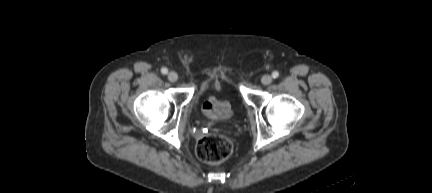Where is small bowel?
Masks as SVG:
<instances>
[{"label": "small bowel", "mask_w": 432, "mask_h": 193, "mask_svg": "<svg viewBox=\"0 0 432 193\" xmlns=\"http://www.w3.org/2000/svg\"><path fill=\"white\" fill-rule=\"evenodd\" d=\"M202 109L203 113L211 119L225 118L229 114L227 105L212 97L208 98V100L203 104Z\"/></svg>", "instance_id": "small-bowel-1"}]
</instances>
